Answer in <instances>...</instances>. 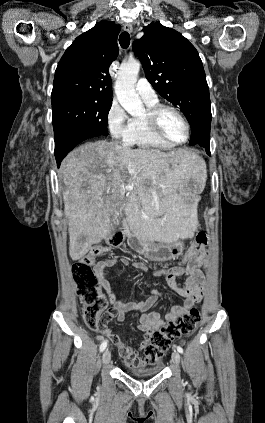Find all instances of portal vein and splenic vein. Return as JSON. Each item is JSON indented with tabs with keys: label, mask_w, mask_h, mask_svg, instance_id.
I'll list each match as a JSON object with an SVG mask.
<instances>
[{
	"label": "portal vein and splenic vein",
	"mask_w": 265,
	"mask_h": 423,
	"mask_svg": "<svg viewBox=\"0 0 265 423\" xmlns=\"http://www.w3.org/2000/svg\"><path fill=\"white\" fill-rule=\"evenodd\" d=\"M133 188H134L133 184H127L126 185V190H128V191H132Z\"/></svg>",
	"instance_id": "18ae733b"
}]
</instances>
